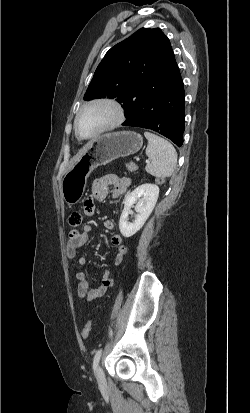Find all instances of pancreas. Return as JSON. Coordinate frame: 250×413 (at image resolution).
<instances>
[{
    "mask_svg": "<svg viewBox=\"0 0 250 413\" xmlns=\"http://www.w3.org/2000/svg\"><path fill=\"white\" fill-rule=\"evenodd\" d=\"M129 169L135 171V170H137V167L134 166L133 168H129Z\"/></svg>",
    "mask_w": 250,
    "mask_h": 413,
    "instance_id": "obj_1",
    "label": "pancreas"
}]
</instances>
